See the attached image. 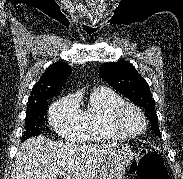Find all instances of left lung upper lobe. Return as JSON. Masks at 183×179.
<instances>
[{
	"label": "left lung upper lobe",
	"mask_w": 183,
	"mask_h": 179,
	"mask_svg": "<svg viewBox=\"0 0 183 179\" xmlns=\"http://www.w3.org/2000/svg\"><path fill=\"white\" fill-rule=\"evenodd\" d=\"M100 75L115 90L143 107L156 135H160L155 101L147 82L134 66L126 61L104 63L100 67Z\"/></svg>",
	"instance_id": "obj_1"
}]
</instances>
